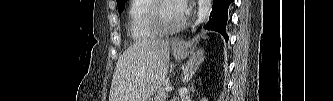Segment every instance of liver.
Segmentation results:
<instances>
[{
  "mask_svg": "<svg viewBox=\"0 0 333 101\" xmlns=\"http://www.w3.org/2000/svg\"><path fill=\"white\" fill-rule=\"evenodd\" d=\"M169 40L144 39L118 59L109 101H147L168 73Z\"/></svg>",
  "mask_w": 333,
  "mask_h": 101,
  "instance_id": "6515ba94",
  "label": "liver"
}]
</instances>
